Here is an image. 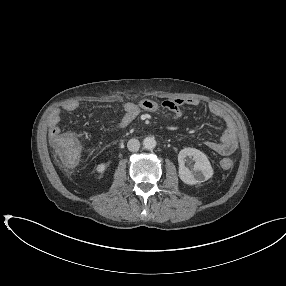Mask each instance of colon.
Returning a JSON list of instances; mask_svg holds the SVG:
<instances>
[{
	"label": "colon",
	"instance_id": "colon-1",
	"mask_svg": "<svg viewBox=\"0 0 286 286\" xmlns=\"http://www.w3.org/2000/svg\"><path fill=\"white\" fill-rule=\"evenodd\" d=\"M51 140L59 161L68 168L75 166L81 151L77 137L71 133H65L57 134ZM221 166L224 169H230L233 166V160L229 158L223 159Z\"/></svg>",
	"mask_w": 286,
	"mask_h": 286
}]
</instances>
